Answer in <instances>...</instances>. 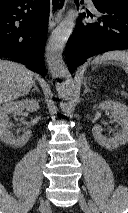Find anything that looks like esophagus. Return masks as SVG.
I'll return each instance as SVG.
<instances>
[{
	"label": "esophagus",
	"instance_id": "34e87169",
	"mask_svg": "<svg viewBox=\"0 0 128 213\" xmlns=\"http://www.w3.org/2000/svg\"><path fill=\"white\" fill-rule=\"evenodd\" d=\"M67 0H50L49 29H53L61 20Z\"/></svg>",
	"mask_w": 128,
	"mask_h": 213
}]
</instances>
